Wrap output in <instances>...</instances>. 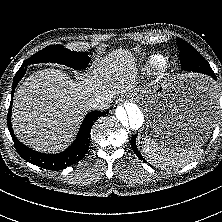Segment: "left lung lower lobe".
I'll return each mask as SVG.
<instances>
[{"mask_svg":"<svg viewBox=\"0 0 222 222\" xmlns=\"http://www.w3.org/2000/svg\"><path fill=\"white\" fill-rule=\"evenodd\" d=\"M182 69L183 70H187V71H193V72H198V73H203V74H206L208 76H211L213 79L216 80V76H215V73L213 71H203L201 69L200 66H197L194 64V62L192 61V59L189 61H185L183 63V66H182ZM136 137L137 135H134L132 136L131 138V146H132V149L133 151L135 152V154L138 156V158H140L141 160H143L144 162L145 159L143 158V156L140 154V152L138 151V148H137V145H136Z\"/></svg>","mask_w":222,"mask_h":222,"instance_id":"1","label":"left lung lower lobe"}]
</instances>
